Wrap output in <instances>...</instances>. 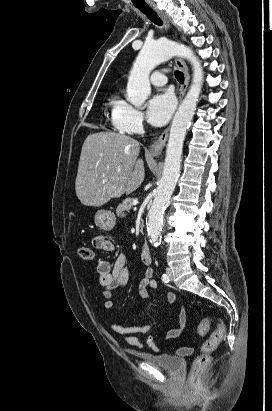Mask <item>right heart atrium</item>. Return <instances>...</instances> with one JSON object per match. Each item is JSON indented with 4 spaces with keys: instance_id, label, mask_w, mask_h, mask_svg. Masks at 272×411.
<instances>
[{
    "instance_id": "right-heart-atrium-1",
    "label": "right heart atrium",
    "mask_w": 272,
    "mask_h": 411,
    "mask_svg": "<svg viewBox=\"0 0 272 411\" xmlns=\"http://www.w3.org/2000/svg\"><path fill=\"white\" fill-rule=\"evenodd\" d=\"M143 113L128 102L121 100L113 114V123L122 131L137 134L143 130Z\"/></svg>"
}]
</instances>
